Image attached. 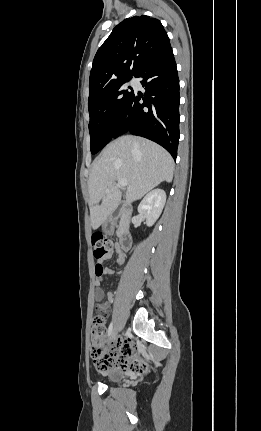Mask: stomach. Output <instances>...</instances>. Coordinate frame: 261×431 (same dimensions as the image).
<instances>
[{
	"mask_svg": "<svg viewBox=\"0 0 261 431\" xmlns=\"http://www.w3.org/2000/svg\"><path fill=\"white\" fill-rule=\"evenodd\" d=\"M115 224L112 220H108L102 224V230L105 234L111 235L114 232Z\"/></svg>",
	"mask_w": 261,
	"mask_h": 431,
	"instance_id": "obj_1",
	"label": "stomach"
}]
</instances>
